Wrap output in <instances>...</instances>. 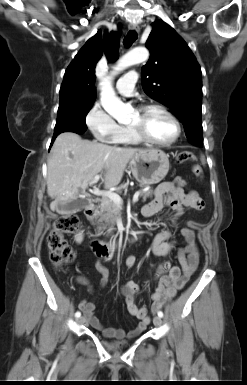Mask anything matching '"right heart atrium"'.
I'll use <instances>...</instances> for the list:
<instances>
[{
    "mask_svg": "<svg viewBox=\"0 0 247 385\" xmlns=\"http://www.w3.org/2000/svg\"><path fill=\"white\" fill-rule=\"evenodd\" d=\"M85 123L92 135L103 143H117L121 132V126L114 118L96 102L89 109Z\"/></svg>",
    "mask_w": 247,
    "mask_h": 385,
    "instance_id": "obj_1",
    "label": "right heart atrium"
}]
</instances>
